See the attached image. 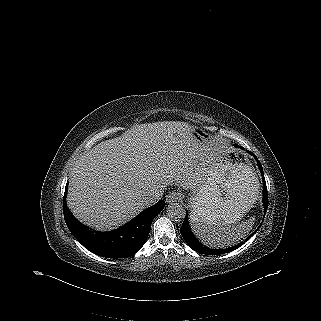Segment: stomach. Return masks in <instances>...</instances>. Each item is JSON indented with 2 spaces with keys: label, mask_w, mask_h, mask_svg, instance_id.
Returning a JSON list of instances; mask_svg holds the SVG:
<instances>
[{
  "label": "stomach",
  "mask_w": 321,
  "mask_h": 321,
  "mask_svg": "<svg viewBox=\"0 0 321 321\" xmlns=\"http://www.w3.org/2000/svg\"><path fill=\"white\" fill-rule=\"evenodd\" d=\"M195 138L208 149L206 178L190 198L191 219L235 224L252 208L259 182L251 164L243 162L237 152L221 150L213 135L192 126Z\"/></svg>",
  "instance_id": "0dacf381"
}]
</instances>
